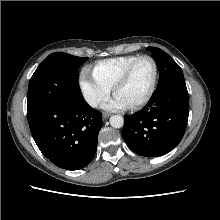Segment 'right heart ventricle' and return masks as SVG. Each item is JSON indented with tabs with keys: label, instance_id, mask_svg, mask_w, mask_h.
Listing matches in <instances>:
<instances>
[{
	"label": "right heart ventricle",
	"instance_id": "right-heart-ventricle-1",
	"mask_svg": "<svg viewBox=\"0 0 220 220\" xmlns=\"http://www.w3.org/2000/svg\"><path fill=\"white\" fill-rule=\"evenodd\" d=\"M138 57L139 55H124L98 61L93 67V74L112 88L125 69Z\"/></svg>",
	"mask_w": 220,
	"mask_h": 220
}]
</instances>
